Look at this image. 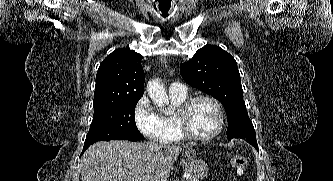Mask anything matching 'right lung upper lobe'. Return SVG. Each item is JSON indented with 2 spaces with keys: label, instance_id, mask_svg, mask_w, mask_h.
Instances as JSON below:
<instances>
[{
  "label": "right lung upper lobe",
  "instance_id": "cb5924a9",
  "mask_svg": "<svg viewBox=\"0 0 333 181\" xmlns=\"http://www.w3.org/2000/svg\"><path fill=\"white\" fill-rule=\"evenodd\" d=\"M142 56L130 49H118L100 64L93 107L139 100L144 93Z\"/></svg>",
  "mask_w": 333,
  "mask_h": 181
}]
</instances>
